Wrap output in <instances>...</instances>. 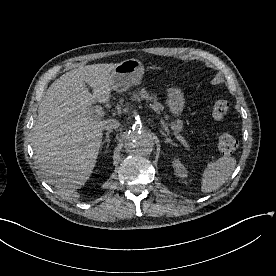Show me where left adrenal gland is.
<instances>
[{"instance_id":"1","label":"left adrenal gland","mask_w":276,"mask_h":276,"mask_svg":"<svg viewBox=\"0 0 276 276\" xmlns=\"http://www.w3.org/2000/svg\"><path fill=\"white\" fill-rule=\"evenodd\" d=\"M160 133L165 137V143H170L171 145L175 146L176 144L168 137V135L164 131H160Z\"/></svg>"}]
</instances>
